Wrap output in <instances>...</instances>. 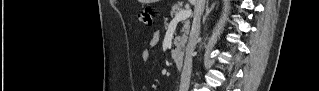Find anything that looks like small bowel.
Masks as SVG:
<instances>
[{
  "instance_id": "c3829d8e",
  "label": "small bowel",
  "mask_w": 319,
  "mask_h": 91,
  "mask_svg": "<svg viewBox=\"0 0 319 91\" xmlns=\"http://www.w3.org/2000/svg\"><path fill=\"white\" fill-rule=\"evenodd\" d=\"M157 38L155 36L151 39V46H154L156 44ZM142 60L144 62H148L151 59V51L149 49L144 50L141 56Z\"/></svg>"
}]
</instances>
